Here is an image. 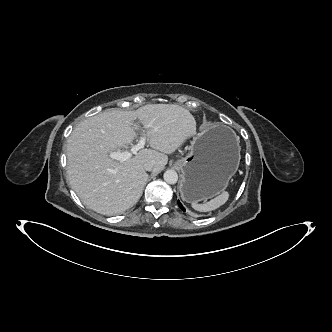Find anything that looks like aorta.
<instances>
[{"label":"aorta","mask_w":332,"mask_h":332,"mask_svg":"<svg viewBox=\"0 0 332 332\" xmlns=\"http://www.w3.org/2000/svg\"><path fill=\"white\" fill-rule=\"evenodd\" d=\"M164 180L168 184H175L178 181V174L175 170H166L163 175Z\"/></svg>","instance_id":"aorta-1"}]
</instances>
